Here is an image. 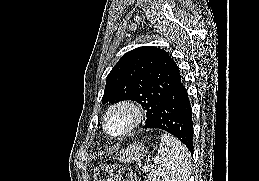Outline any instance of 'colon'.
<instances>
[{"instance_id": "5ec220e1", "label": "colon", "mask_w": 259, "mask_h": 181, "mask_svg": "<svg viewBox=\"0 0 259 181\" xmlns=\"http://www.w3.org/2000/svg\"><path fill=\"white\" fill-rule=\"evenodd\" d=\"M95 181H136L131 169L120 165L99 164L94 169Z\"/></svg>"}]
</instances>
